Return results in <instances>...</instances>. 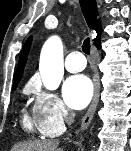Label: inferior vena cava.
<instances>
[{"label":"inferior vena cava","instance_id":"obj_1","mask_svg":"<svg viewBox=\"0 0 131 151\" xmlns=\"http://www.w3.org/2000/svg\"><path fill=\"white\" fill-rule=\"evenodd\" d=\"M73 120H74L73 115H69L68 117H66V122L68 125H71Z\"/></svg>","mask_w":131,"mask_h":151}]
</instances>
